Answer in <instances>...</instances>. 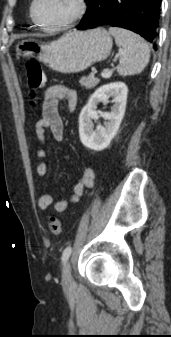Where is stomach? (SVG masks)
<instances>
[{"instance_id": "1", "label": "stomach", "mask_w": 171, "mask_h": 337, "mask_svg": "<svg viewBox=\"0 0 171 337\" xmlns=\"http://www.w3.org/2000/svg\"><path fill=\"white\" fill-rule=\"evenodd\" d=\"M112 38L103 28L72 31L51 43L27 39L16 45L17 55L35 56L51 69L76 73L106 59L112 49Z\"/></svg>"}]
</instances>
